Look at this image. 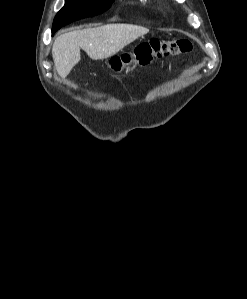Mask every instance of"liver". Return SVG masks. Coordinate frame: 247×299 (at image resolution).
I'll return each instance as SVG.
<instances>
[{"instance_id":"1","label":"liver","mask_w":247,"mask_h":299,"mask_svg":"<svg viewBox=\"0 0 247 299\" xmlns=\"http://www.w3.org/2000/svg\"><path fill=\"white\" fill-rule=\"evenodd\" d=\"M149 29L132 24H107L64 33L56 38L52 56L58 74L65 78L80 61L82 48L93 60L111 57Z\"/></svg>"}]
</instances>
